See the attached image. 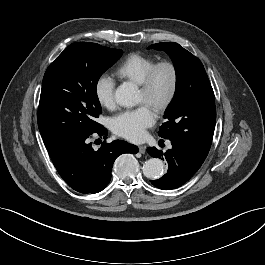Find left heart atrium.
I'll return each instance as SVG.
<instances>
[{"label": "left heart atrium", "mask_w": 265, "mask_h": 265, "mask_svg": "<svg viewBox=\"0 0 265 265\" xmlns=\"http://www.w3.org/2000/svg\"><path fill=\"white\" fill-rule=\"evenodd\" d=\"M155 122V116L149 105L121 112L111 119V128L115 134L133 142L146 137V129Z\"/></svg>", "instance_id": "1"}]
</instances>
